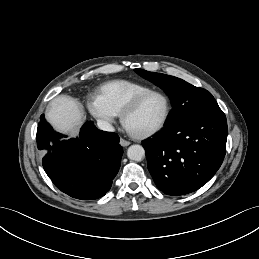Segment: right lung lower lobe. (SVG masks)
<instances>
[{
    "label": "right lung lower lobe",
    "instance_id": "obj_1",
    "mask_svg": "<svg viewBox=\"0 0 259 259\" xmlns=\"http://www.w3.org/2000/svg\"><path fill=\"white\" fill-rule=\"evenodd\" d=\"M61 137L41 115L36 140L38 149L49 151L42 160L48 177L73 198L104 196L120 168L123 149L118 135L100 131L90 121L82 127L79 138L59 141Z\"/></svg>",
    "mask_w": 259,
    "mask_h": 259
}]
</instances>
